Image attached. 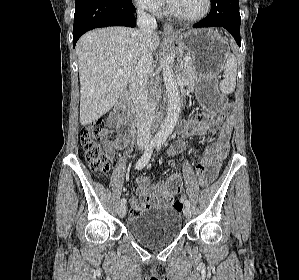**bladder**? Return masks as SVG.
<instances>
[{
    "label": "bladder",
    "mask_w": 299,
    "mask_h": 280,
    "mask_svg": "<svg viewBox=\"0 0 299 280\" xmlns=\"http://www.w3.org/2000/svg\"><path fill=\"white\" fill-rule=\"evenodd\" d=\"M127 230L140 244L160 248L180 234L181 213L172 207L147 208L128 221Z\"/></svg>",
    "instance_id": "bladder-1"
}]
</instances>
